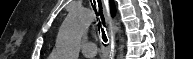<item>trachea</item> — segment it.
Returning <instances> with one entry per match:
<instances>
[{"instance_id": "3493384b", "label": "trachea", "mask_w": 193, "mask_h": 59, "mask_svg": "<svg viewBox=\"0 0 193 59\" xmlns=\"http://www.w3.org/2000/svg\"><path fill=\"white\" fill-rule=\"evenodd\" d=\"M95 10H96V8H95ZM97 10H98L97 15L98 14L100 15V21H99V25H98V28H100L101 25L105 26V20H104V16H103V13H102V4L101 3H98ZM97 10H96V12H97ZM101 31H102V39H103V41L107 42V36H106L105 31H104V29L102 27H101Z\"/></svg>"}]
</instances>
